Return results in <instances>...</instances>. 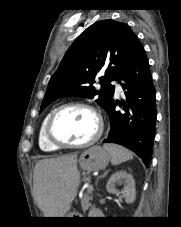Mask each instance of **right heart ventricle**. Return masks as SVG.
Masks as SVG:
<instances>
[{
  "label": "right heart ventricle",
  "instance_id": "right-heart-ventricle-1",
  "mask_svg": "<svg viewBox=\"0 0 181 227\" xmlns=\"http://www.w3.org/2000/svg\"><path fill=\"white\" fill-rule=\"evenodd\" d=\"M52 111H50L48 114H46V116L44 117L40 129H39V135H38V144L39 147L41 148V150L45 151V152H55L57 151L59 148L54 146L46 137L45 134V127L48 121V118L50 116Z\"/></svg>",
  "mask_w": 181,
  "mask_h": 227
}]
</instances>
